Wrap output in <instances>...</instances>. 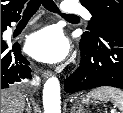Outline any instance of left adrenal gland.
Wrapping results in <instances>:
<instances>
[{
    "instance_id": "1",
    "label": "left adrenal gland",
    "mask_w": 123,
    "mask_h": 113,
    "mask_svg": "<svg viewBox=\"0 0 123 113\" xmlns=\"http://www.w3.org/2000/svg\"><path fill=\"white\" fill-rule=\"evenodd\" d=\"M83 110H84L83 107H80V109H78V111H76L75 107H73L71 113H75V112L76 113H84Z\"/></svg>"
}]
</instances>
